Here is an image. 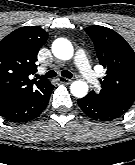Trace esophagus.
<instances>
[{"label": "esophagus", "mask_w": 135, "mask_h": 165, "mask_svg": "<svg viewBox=\"0 0 135 165\" xmlns=\"http://www.w3.org/2000/svg\"><path fill=\"white\" fill-rule=\"evenodd\" d=\"M58 81L64 84H70L72 82L71 79L65 78V77H59Z\"/></svg>", "instance_id": "34e87169"}]
</instances>
